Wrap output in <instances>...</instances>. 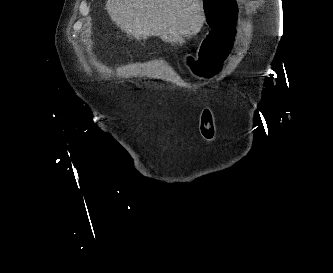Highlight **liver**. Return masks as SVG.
<instances>
[{
	"instance_id": "6515ba94",
	"label": "liver",
	"mask_w": 333,
	"mask_h": 273,
	"mask_svg": "<svg viewBox=\"0 0 333 273\" xmlns=\"http://www.w3.org/2000/svg\"><path fill=\"white\" fill-rule=\"evenodd\" d=\"M105 9L112 22L137 39L159 36L183 44L203 26V0H107Z\"/></svg>"
}]
</instances>
